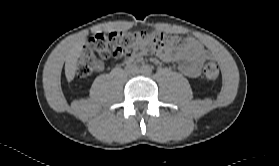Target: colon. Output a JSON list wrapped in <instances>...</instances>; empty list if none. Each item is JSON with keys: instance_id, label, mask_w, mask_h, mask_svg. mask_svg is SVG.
<instances>
[{"instance_id": "colon-1", "label": "colon", "mask_w": 279, "mask_h": 166, "mask_svg": "<svg viewBox=\"0 0 279 166\" xmlns=\"http://www.w3.org/2000/svg\"><path fill=\"white\" fill-rule=\"evenodd\" d=\"M186 41L160 31H131L98 33L90 38L83 48L77 63V75L87 77L105 68V60L131 57L140 50L163 51L180 49ZM219 66L215 61H206L203 74L208 80L219 77Z\"/></svg>"}]
</instances>
